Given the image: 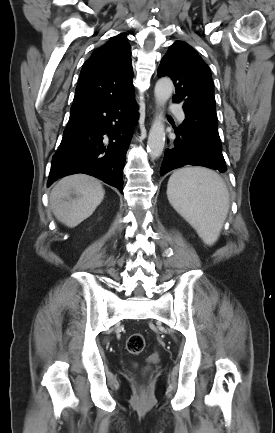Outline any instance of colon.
Here are the masks:
<instances>
[{
    "label": "colon",
    "mask_w": 275,
    "mask_h": 433,
    "mask_svg": "<svg viewBox=\"0 0 275 433\" xmlns=\"http://www.w3.org/2000/svg\"><path fill=\"white\" fill-rule=\"evenodd\" d=\"M145 346V340L141 333H132L126 341V349L133 355H139Z\"/></svg>",
    "instance_id": "1"
}]
</instances>
